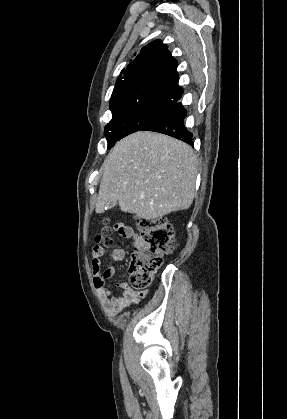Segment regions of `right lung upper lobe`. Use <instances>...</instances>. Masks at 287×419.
Returning a JSON list of instances; mask_svg holds the SVG:
<instances>
[{
  "mask_svg": "<svg viewBox=\"0 0 287 419\" xmlns=\"http://www.w3.org/2000/svg\"><path fill=\"white\" fill-rule=\"evenodd\" d=\"M177 61L160 40L141 49L119 77L110 100L112 113L138 105L171 107L183 94Z\"/></svg>",
  "mask_w": 287,
  "mask_h": 419,
  "instance_id": "right-lung-upper-lobe-1",
  "label": "right lung upper lobe"
}]
</instances>
